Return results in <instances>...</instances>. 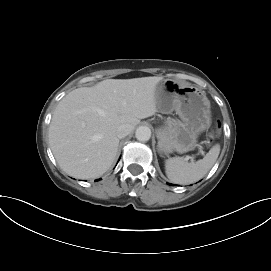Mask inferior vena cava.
I'll return each mask as SVG.
<instances>
[{"label":"inferior vena cava","mask_w":271,"mask_h":271,"mask_svg":"<svg viewBox=\"0 0 271 271\" xmlns=\"http://www.w3.org/2000/svg\"><path fill=\"white\" fill-rule=\"evenodd\" d=\"M131 132V127L130 125L127 124H123L120 125L117 130H116V135L118 138H123L125 136H127L129 133Z\"/></svg>","instance_id":"1"}]
</instances>
